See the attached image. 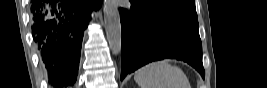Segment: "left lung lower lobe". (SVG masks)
Instances as JSON below:
<instances>
[{
  "mask_svg": "<svg viewBox=\"0 0 267 88\" xmlns=\"http://www.w3.org/2000/svg\"><path fill=\"white\" fill-rule=\"evenodd\" d=\"M122 28L121 80L139 67L164 58L187 62L204 78L199 26L184 20L144 16L131 5L120 8Z\"/></svg>",
  "mask_w": 267,
  "mask_h": 88,
  "instance_id": "obj_1",
  "label": "left lung lower lobe"
}]
</instances>
